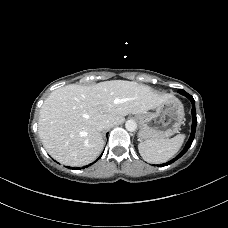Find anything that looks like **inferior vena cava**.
Returning <instances> with one entry per match:
<instances>
[{"mask_svg":"<svg viewBox=\"0 0 228 228\" xmlns=\"http://www.w3.org/2000/svg\"><path fill=\"white\" fill-rule=\"evenodd\" d=\"M110 127V123L108 121L100 122L97 124V130L103 131L104 129H107Z\"/></svg>","mask_w":228,"mask_h":228,"instance_id":"obj_1","label":"inferior vena cava"}]
</instances>
